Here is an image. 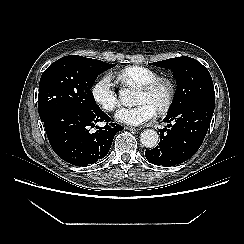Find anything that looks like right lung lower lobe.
<instances>
[{
	"mask_svg": "<svg viewBox=\"0 0 244 244\" xmlns=\"http://www.w3.org/2000/svg\"><path fill=\"white\" fill-rule=\"evenodd\" d=\"M44 123L51 147L66 162L76 166H87L105 157L115 134L123 127L111 123L110 117L100 108L86 110L62 107L49 111L40 118ZM98 122L104 127L92 133Z\"/></svg>",
	"mask_w": 244,
	"mask_h": 244,
	"instance_id": "1",
	"label": "right lung lower lobe"
}]
</instances>
